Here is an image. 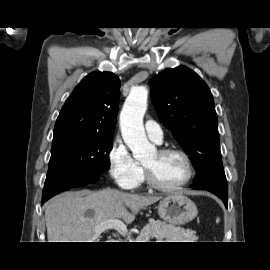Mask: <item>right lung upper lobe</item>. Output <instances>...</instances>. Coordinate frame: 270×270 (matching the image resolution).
<instances>
[{
	"label": "right lung upper lobe",
	"instance_id": "right-lung-upper-lobe-1",
	"mask_svg": "<svg viewBox=\"0 0 270 270\" xmlns=\"http://www.w3.org/2000/svg\"><path fill=\"white\" fill-rule=\"evenodd\" d=\"M120 80L111 72H92L74 89L57 118L54 133L74 131L114 135Z\"/></svg>",
	"mask_w": 270,
	"mask_h": 270
}]
</instances>
